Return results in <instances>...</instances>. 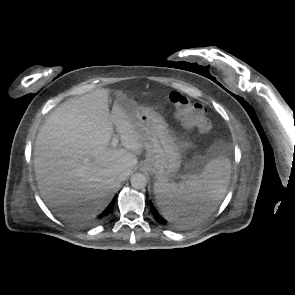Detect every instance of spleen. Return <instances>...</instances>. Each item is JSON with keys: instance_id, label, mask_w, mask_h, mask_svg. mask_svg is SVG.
I'll return each instance as SVG.
<instances>
[{"instance_id": "3e777b00", "label": "spleen", "mask_w": 295, "mask_h": 295, "mask_svg": "<svg viewBox=\"0 0 295 295\" xmlns=\"http://www.w3.org/2000/svg\"><path fill=\"white\" fill-rule=\"evenodd\" d=\"M230 174V161L221 156L214 158L205 165L201 174L190 176L183 184L157 180L154 183L156 202L167 220L183 225L197 224L206 216H192L190 210L199 202L214 204L220 201Z\"/></svg>"}]
</instances>
